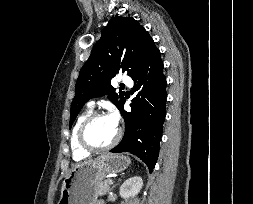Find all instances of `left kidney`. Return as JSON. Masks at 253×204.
Here are the masks:
<instances>
[{
	"instance_id": "1",
	"label": "left kidney",
	"mask_w": 253,
	"mask_h": 204,
	"mask_svg": "<svg viewBox=\"0 0 253 204\" xmlns=\"http://www.w3.org/2000/svg\"><path fill=\"white\" fill-rule=\"evenodd\" d=\"M143 186V180L139 176L127 179L120 187L119 194L124 199L136 196Z\"/></svg>"
}]
</instances>
